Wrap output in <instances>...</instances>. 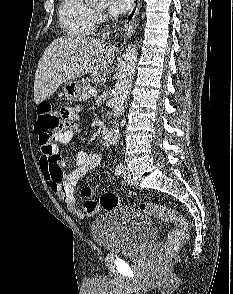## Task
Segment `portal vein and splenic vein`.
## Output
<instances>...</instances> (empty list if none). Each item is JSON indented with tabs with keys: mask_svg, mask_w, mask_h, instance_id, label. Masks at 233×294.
I'll return each mask as SVG.
<instances>
[{
	"mask_svg": "<svg viewBox=\"0 0 233 294\" xmlns=\"http://www.w3.org/2000/svg\"><path fill=\"white\" fill-rule=\"evenodd\" d=\"M89 94L92 95V96H97V91H96V89H90V90H89Z\"/></svg>",
	"mask_w": 233,
	"mask_h": 294,
	"instance_id": "18ae733b",
	"label": "portal vein and splenic vein"
}]
</instances>
